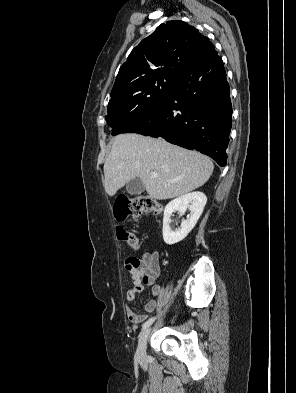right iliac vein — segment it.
Here are the masks:
<instances>
[{
  "label": "right iliac vein",
  "mask_w": 296,
  "mask_h": 393,
  "mask_svg": "<svg viewBox=\"0 0 296 393\" xmlns=\"http://www.w3.org/2000/svg\"><path fill=\"white\" fill-rule=\"evenodd\" d=\"M150 334V328L145 329L138 340L136 357L139 361H143L146 357L147 340Z\"/></svg>",
  "instance_id": "obj_1"
}]
</instances>
